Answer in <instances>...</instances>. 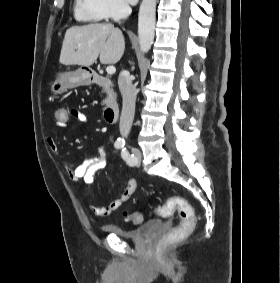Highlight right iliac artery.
Returning a JSON list of instances; mask_svg holds the SVG:
<instances>
[{
  "mask_svg": "<svg viewBox=\"0 0 280 283\" xmlns=\"http://www.w3.org/2000/svg\"><path fill=\"white\" fill-rule=\"evenodd\" d=\"M115 148L121 149L124 146V143L121 141H116L114 144Z\"/></svg>",
  "mask_w": 280,
  "mask_h": 283,
  "instance_id": "right-iliac-artery-1",
  "label": "right iliac artery"
}]
</instances>
